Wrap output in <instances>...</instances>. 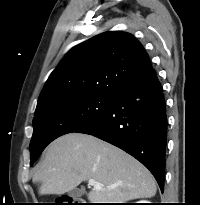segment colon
Instances as JSON below:
<instances>
[{
  "label": "colon",
  "mask_w": 200,
  "mask_h": 205,
  "mask_svg": "<svg viewBox=\"0 0 200 205\" xmlns=\"http://www.w3.org/2000/svg\"><path fill=\"white\" fill-rule=\"evenodd\" d=\"M52 205H84L82 199L64 196Z\"/></svg>",
  "instance_id": "5ec220e1"
}]
</instances>
